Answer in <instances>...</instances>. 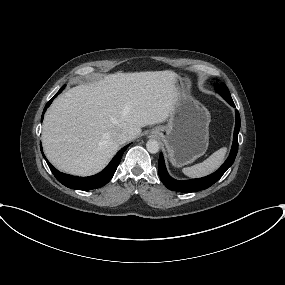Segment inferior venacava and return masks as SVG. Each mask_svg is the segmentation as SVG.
Here are the masks:
<instances>
[{
  "instance_id": "inferior-vena-cava-1",
  "label": "inferior vena cava",
  "mask_w": 285,
  "mask_h": 285,
  "mask_svg": "<svg viewBox=\"0 0 285 285\" xmlns=\"http://www.w3.org/2000/svg\"><path fill=\"white\" fill-rule=\"evenodd\" d=\"M128 138V134L124 131H118L113 134L114 141L119 145L124 144L126 141H128Z\"/></svg>"
}]
</instances>
